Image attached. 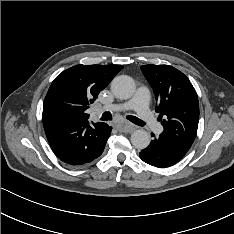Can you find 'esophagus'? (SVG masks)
Masks as SVG:
<instances>
[{
    "label": "esophagus",
    "mask_w": 234,
    "mask_h": 234,
    "mask_svg": "<svg viewBox=\"0 0 234 234\" xmlns=\"http://www.w3.org/2000/svg\"><path fill=\"white\" fill-rule=\"evenodd\" d=\"M119 130L124 133H131L134 130V127L131 124H126L123 128H120Z\"/></svg>",
    "instance_id": "esophagus-1"
}]
</instances>
